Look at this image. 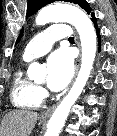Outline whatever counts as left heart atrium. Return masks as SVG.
I'll list each match as a JSON object with an SVG mask.
<instances>
[{
  "mask_svg": "<svg viewBox=\"0 0 117 136\" xmlns=\"http://www.w3.org/2000/svg\"><path fill=\"white\" fill-rule=\"evenodd\" d=\"M47 85L53 91L64 89L69 83L74 63L70 52L67 49H58L53 52L47 60Z\"/></svg>",
  "mask_w": 117,
  "mask_h": 136,
  "instance_id": "obj_1",
  "label": "left heart atrium"
}]
</instances>
